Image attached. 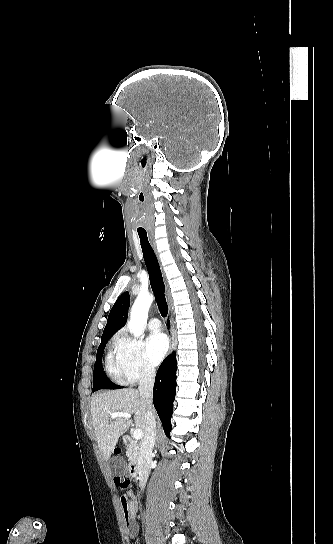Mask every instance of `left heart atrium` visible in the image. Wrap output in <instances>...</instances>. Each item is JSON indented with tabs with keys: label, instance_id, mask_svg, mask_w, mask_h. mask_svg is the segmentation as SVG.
<instances>
[{
	"label": "left heart atrium",
	"instance_id": "left-heart-atrium-1",
	"mask_svg": "<svg viewBox=\"0 0 333 544\" xmlns=\"http://www.w3.org/2000/svg\"><path fill=\"white\" fill-rule=\"evenodd\" d=\"M146 354L153 365H158L168 350V339L162 333L150 335L146 340Z\"/></svg>",
	"mask_w": 333,
	"mask_h": 544
}]
</instances>
